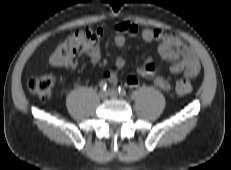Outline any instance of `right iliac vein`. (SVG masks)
I'll return each mask as SVG.
<instances>
[{"instance_id": "right-iliac-vein-1", "label": "right iliac vein", "mask_w": 231, "mask_h": 170, "mask_svg": "<svg viewBox=\"0 0 231 170\" xmlns=\"http://www.w3.org/2000/svg\"><path fill=\"white\" fill-rule=\"evenodd\" d=\"M99 97L101 98V99H106L107 97H108V92L107 91H100L99 92Z\"/></svg>"}]
</instances>
